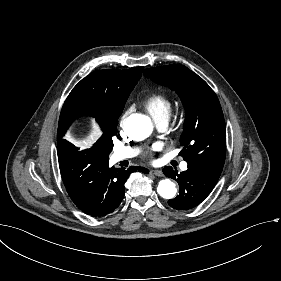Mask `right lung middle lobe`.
<instances>
[{
  "label": "right lung middle lobe",
  "mask_w": 281,
  "mask_h": 281,
  "mask_svg": "<svg viewBox=\"0 0 281 281\" xmlns=\"http://www.w3.org/2000/svg\"><path fill=\"white\" fill-rule=\"evenodd\" d=\"M117 124L118 120H106L100 124L103 134L93 148H96L106 158H108L113 147L112 137L116 134Z\"/></svg>",
  "instance_id": "obj_1"
}]
</instances>
